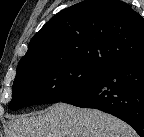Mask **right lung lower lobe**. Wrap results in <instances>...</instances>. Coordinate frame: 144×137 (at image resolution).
<instances>
[{
    "label": "right lung lower lobe",
    "mask_w": 144,
    "mask_h": 137,
    "mask_svg": "<svg viewBox=\"0 0 144 137\" xmlns=\"http://www.w3.org/2000/svg\"><path fill=\"white\" fill-rule=\"evenodd\" d=\"M62 102L112 114L144 137V51L114 65Z\"/></svg>",
    "instance_id": "98d812e1"
}]
</instances>
